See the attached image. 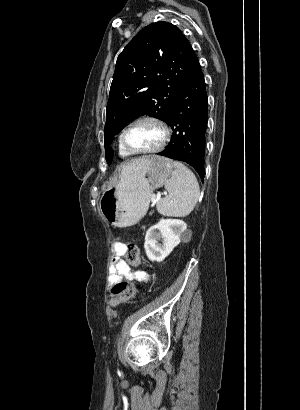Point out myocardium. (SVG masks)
I'll return each mask as SVG.
<instances>
[{
  "label": "myocardium",
  "instance_id": "obj_1",
  "mask_svg": "<svg viewBox=\"0 0 300 410\" xmlns=\"http://www.w3.org/2000/svg\"><path fill=\"white\" fill-rule=\"evenodd\" d=\"M144 121H149V122H153L155 124H157L161 131H162V139L160 141V143L151 149H145V150H136V149H132L130 147L127 146L126 142H125V135L126 132L135 124L139 123V122H144ZM170 136H171V131L170 128L168 126V124L161 119L160 117L154 116V115H143L140 117H137L136 119H134L133 121H131L120 133L119 136V142L120 145L126 150L128 151L131 155H147V154H155L158 153L160 151H162L165 146L167 145V143L170 140Z\"/></svg>",
  "mask_w": 300,
  "mask_h": 410
}]
</instances>
